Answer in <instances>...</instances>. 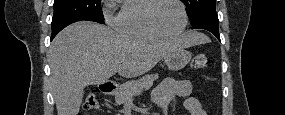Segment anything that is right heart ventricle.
<instances>
[{
    "mask_svg": "<svg viewBox=\"0 0 285 115\" xmlns=\"http://www.w3.org/2000/svg\"><path fill=\"white\" fill-rule=\"evenodd\" d=\"M152 0H129L116 17L115 26L125 35L154 39L161 37L151 29L146 20V13Z\"/></svg>",
    "mask_w": 285,
    "mask_h": 115,
    "instance_id": "obj_1",
    "label": "right heart ventricle"
}]
</instances>
